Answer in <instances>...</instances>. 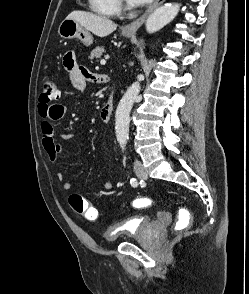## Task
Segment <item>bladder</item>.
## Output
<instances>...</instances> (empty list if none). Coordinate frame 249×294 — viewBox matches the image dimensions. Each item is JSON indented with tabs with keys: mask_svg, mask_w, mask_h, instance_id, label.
Listing matches in <instances>:
<instances>
[{
	"mask_svg": "<svg viewBox=\"0 0 249 294\" xmlns=\"http://www.w3.org/2000/svg\"><path fill=\"white\" fill-rule=\"evenodd\" d=\"M154 223L155 218L151 216H139L130 221H126L127 226L121 232L115 233V226L108 228L103 234V238L107 243H114L119 239L138 240L150 231Z\"/></svg>",
	"mask_w": 249,
	"mask_h": 294,
	"instance_id": "bladder-1",
	"label": "bladder"
}]
</instances>
